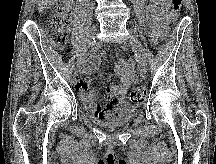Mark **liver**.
I'll return each instance as SVG.
<instances>
[{"mask_svg": "<svg viewBox=\"0 0 216 164\" xmlns=\"http://www.w3.org/2000/svg\"><path fill=\"white\" fill-rule=\"evenodd\" d=\"M57 0H37L38 11L41 13L45 9H48L52 5H54Z\"/></svg>", "mask_w": 216, "mask_h": 164, "instance_id": "1", "label": "liver"}]
</instances>
